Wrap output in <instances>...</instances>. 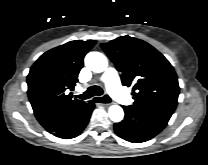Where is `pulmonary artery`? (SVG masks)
I'll return each mask as SVG.
<instances>
[{
  "mask_svg": "<svg viewBox=\"0 0 208 165\" xmlns=\"http://www.w3.org/2000/svg\"><path fill=\"white\" fill-rule=\"evenodd\" d=\"M102 81L105 83L109 93L119 102L128 103L130 97L123 90L117 71L114 68H108L102 75Z\"/></svg>",
  "mask_w": 208,
  "mask_h": 165,
  "instance_id": "e3ab8cb5",
  "label": "pulmonary artery"
}]
</instances>
